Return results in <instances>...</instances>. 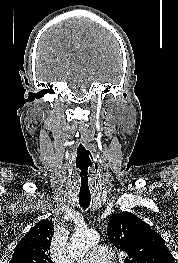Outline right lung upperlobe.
<instances>
[{"label": "right lung upper lobe", "instance_id": "obj_1", "mask_svg": "<svg viewBox=\"0 0 178 263\" xmlns=\"http://www.w3.org/2000/svg\"><path fill=\"white\" fill-rule=\"evenodd\" d=\"M53 235V223L39 221L19 241L9 263H52L49 250Z\"/></svg>", "mask_w": 178, "mask_h": 263}]
</instances>
